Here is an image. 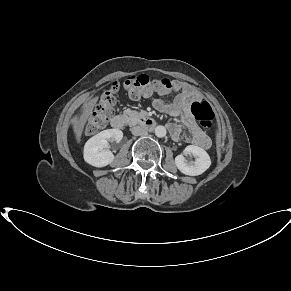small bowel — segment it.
I'll return each instance as SVG.
<instances>
[{
	"instance_id": "1",
	"label": "small bowel",
	"mask_w": 291,
	"mask_h": 291,
	"mask_svg": "<svg viewBox=\"0 0 291 291\" xmlns=\"http://www.w3.org/2000/svg\"><path fill=\"white\" fill-rule=\"evenodd\" d=\"M168 85L158 92V97L154 99V107L171 115H181L182 127L175 123H170L167 128L171 137L178 141L181 138L187 143L193 144L202 149H208L211 146L210 138L197 126L191 114L188 111L190 103L196 99V94L189 84L180 80H167ZM177 93L173 101L168 102L163 99L170 93Z\"/></svg>"
}]
</instances>
